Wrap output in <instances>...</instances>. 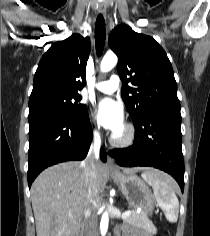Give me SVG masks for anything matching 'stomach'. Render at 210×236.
Instances as JSON below:
<instances>
[{
    "mask_svg": "<svg viewBox=\"0 0 210 236\" xmlns=\"http://www.w3.org/2000/svg\"><path fill=\"white\" fill-rule=\"evenodd\" d=\"M111 177L132 206L140 208L146 214L152 213L155 200L151 190L140 177L125 173L111 174Z\"/></svg>",
    "mask_w": 210,
    "mask_h": 236,
    "instance_id": "1",
    "label": "stomach"
}]
</instances>
